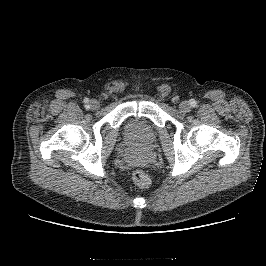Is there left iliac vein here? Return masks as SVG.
<instances>
[{
  "label": "left iliac vein",
  "instance_id": "left-iliac-vein-1",
  "mask_svg": "<svg viewBox=\"0 0 266 266\" xmlns=\"http://www.w3.org/2000/svg\"><path fill=\"white\" fill-rule=\"evenodd\" d=\"M190 109H191V106H190V104H189L187 101H182V102L179 104V110H180L181 112L186 113V112H189Z\"/></svg>",
  "mask_w": 266,
  "mask_h": 266
}]
</instances>
